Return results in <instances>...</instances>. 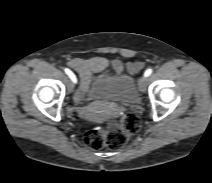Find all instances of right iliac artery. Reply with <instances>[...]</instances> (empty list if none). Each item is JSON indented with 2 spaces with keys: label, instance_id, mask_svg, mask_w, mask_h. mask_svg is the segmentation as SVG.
<instances>
[{
  "label": "right iliac artery",
  "instance_id": "obj_1",
  "mask_svg": "<svg viewBox=\"0 0 212 183\" xmlns=\"http://www.w3.org/2000/svg\"><path fill=\"white\" fill-rule=\"evenodd\" d=\"M65 73L71 78V80L74 83L77 82L76 76L74 75V73L71 70H69L68 68H65Z\"/></svg>",
  "mask_w": 212,
  "mask_h": 183
}]
</instances>
